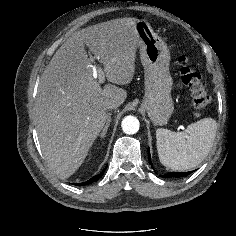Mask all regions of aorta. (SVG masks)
Listing matches in <instances>:
<instances>
[{"label":"aorta","instance_id":"1","mask_svg":"<svg viewBox=\"0 0 236 236\" xmlns=\"http://www.w3.org/2000/svg\"><path fill=\"white\" fill-rule=\"evenodd\" d=\"M121 126L123 132L129 135L137 133L140 127L138 119L134 116H126Z\"/></svg>","mask_w":236,"mask_h":236}]
</instances>
